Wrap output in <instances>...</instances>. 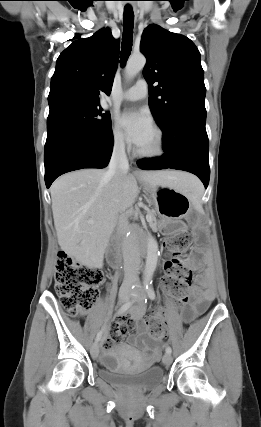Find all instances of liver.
I'll return each mask as SVG.
<instances>
[{"label":"liver","mask_w":261,"mask_h":427,"mask_svg":"<svg viewBox=\"0 0 261 427\" xmlns=\"http://www.w3.org/2000/svg\"><path fill=\"white\" fill-rule=\"evenodd\" d=\"M103 169L67 173L51 186L52 212L58 244L85 265H101L119 214L135 202L139 188L153 192L170 186L187 192L193 176L178 171L126 173L121 179L106 176ZM89 221H93L90 224Z\"/></svg>","instance_id":"6515ba94"}]
</instances>
